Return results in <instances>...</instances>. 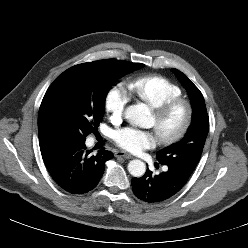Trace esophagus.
Masks as SVG:
<instances>
[{
	"label": "esophagus",
	"mask_w": 248,
	"mask_h": 248,
	"mask_svg": "<svg viewBox=\"0 0 248 248\" xmlns=\"http://www.w3.org/2000/svg\"><path fill=\"white\" fill-rule=\"evenodd\" d=\"M115 157H123L125 159H132L133 156L127 152H124V151H117L115 153Z\"/></svg>",
	"instance_id": "1"
}]
</instances>
